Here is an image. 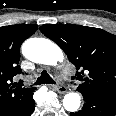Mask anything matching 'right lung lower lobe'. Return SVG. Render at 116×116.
<instances>
[{
	"instance_id": "right-lung-lower-lobe-1",
	"label": "right lung lower lobe",
	"mask_w": 116,
	"mask_h": 116,
	"mask_svg": "<svg viewBox=\"0 0 116 116\" xmlns=\"http://www.w3.org/2000/svg\"><path fill=\"white\" fill-rule=\"evenodd\" d=\"M35 109V101L32 98L31 101L15 116H30Z\"/></svg>"
}]
</instances>
